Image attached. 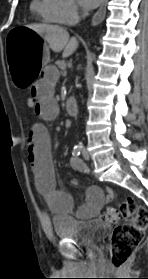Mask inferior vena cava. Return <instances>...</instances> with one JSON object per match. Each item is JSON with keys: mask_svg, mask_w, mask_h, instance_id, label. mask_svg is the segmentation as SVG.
Wrapping results in <instances>:
<instances>
[{"mask_svg": "<svg viewBox=\"0 0 148 279\" xmlns=\"http://www.w3.org/2000/svg\"><path fill=\"white\" fill-rule=\"evenodd\" d=\"M86 16H88V11H87V10H84V11H83V14H82V17L85 18Z\"/></svg>", "mask_w": 148, "mask_h": 279, "instance_id": "602c4592", "label": "inferior vena cava"}]
</instances>
